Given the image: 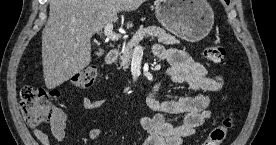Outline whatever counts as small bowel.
Instances as JSON below:
<instances>
[{
  "instance_id": "obj_1",
  "label": "small bowel",
  "mask_w": 276,
  "mask_h": 145,
  "mask_svg": "<svg viewBox=\"0 0 276 145\" xmlns=\"http://www.w3.org/2000/svg\"><path fill=\"white\" fill-rule=\"evenodd\" d=\"M153 53L169 62L170 67L165 73L167 78L202 93L161 100L157 97L159 84L155 85L146 97V104L154 111V115L138 120V125L148 133L142 145H182L185 138L191 136L209 118V94L221 90L223 82L220 77L208 76L205 66L183 50L166 49L158 44L154 46ZM104 103L105 99L93 101L88 97L82 98L83 107L87 110L99 108ZM66 122V114L56 110L50 126L51 134L58 142L65 139ZM32 132L41 145H51L44 131L32 128ZM100 135L101 130L97 128L87 132L90 140H97Z\"/></svg>"
}]
</instances>
